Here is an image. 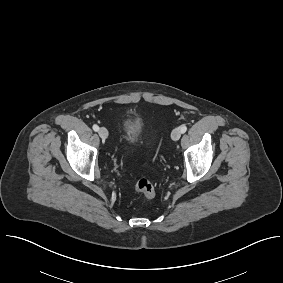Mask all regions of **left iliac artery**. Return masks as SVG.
<instances>
[{
  "mask_svg": "<svg viewBox=\"0 0 283 283\" xmlns=\"http://www.w3.org/2000/svg\"><path fill=\"white\" fill-rule=\"evenodd\" d=\"M180 130H181V133H185L186 130H187L186 125H182V126L180 127Z\"/></svg>",
  "mask_w": 283,
  "mask_h": 283,
  "instance_id": "44dca946",
  "label": "left iliac artery"
}]
</instances>
